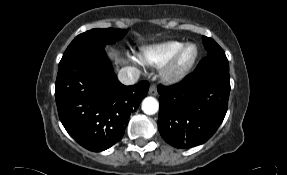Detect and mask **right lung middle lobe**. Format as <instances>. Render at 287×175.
Listing matches in <instances>:
<instances>
[{"label": "right lung middle lobe", "instance_id": "obj_1", "mask_svg": "<svg viewBox=\"0 0 287 175\" xmlns=\"http://www.w3.org/2000/svg\"><path fill=\"white\" fill-rule=\"evenodd\" d=\"M126 34L123 29H92L78 35L67 47L61 61L93 47H104L121 39Z\"/></svg>", "mask_w": 287, "mask_h": 175}]
</instances>
